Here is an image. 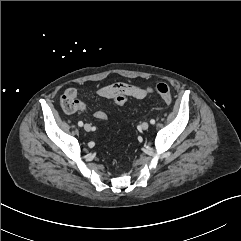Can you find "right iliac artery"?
Instances as JSON below:
<instances>
[{
  "label": "right iliac artery",
  "mask_w": 241,
  "mask_h": 241,
  "mask_svg": "<svg viewBox=\"0 0 241 241\" xmlns=\"http://www.w3.org/2000/svg\"><path fill=\"white\" fill-rule=\"evenodd\" d=\"M78 126L82 127V126H83V122H82V121H79V122H78Z\"/></svg>",
  "instance_id": "82829eb1"
}]
</instances>
